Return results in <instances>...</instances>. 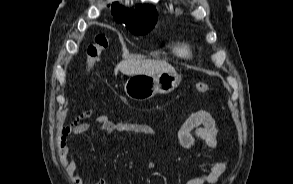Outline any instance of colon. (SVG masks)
Returning <instances> with one entry per match:
<instances>
[{
    "label": "colon",
    "instance_id": "obj_1",
    "mask_svg": "<svg viewBox=\"0 0 293 184\" xmlns=\"http://www.w3.org/2000/svg\"><path fill=\"white\" fill-rule=\"evenodd\" d=\"M108 45L109 39L105 35H97L87 48L86 75L93 89H95L92 79L94 66L102 53L108 48ZM193 90L195 93H207L211 90V87L205 82H198L194 85Z\"/></svg>",
    "mask_w": 293,
    "mask_h": 184
}]
</instances>
